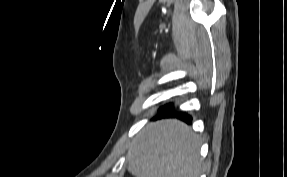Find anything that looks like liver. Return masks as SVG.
<instances>
[{
	"mask_svg": "<svg viewBox=\"0 0 287 177\" xmlns=\"http://www.w3.org/2000/svg\"><path fill=\"white\" fill-rule=\"evenodd\" d=\"M199 137L177 119L148 124L127 154L128 171L136 177H199Z\"/></svg>",
	"mask_w": 287,
	"mask_h": 177,
	"instance_id": "liver-1",
	"label": "liver"
}]
</instances>
